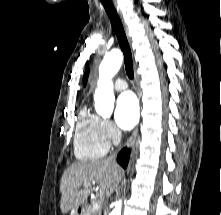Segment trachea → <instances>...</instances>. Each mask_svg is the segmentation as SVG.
<instances>
[{
	"label": "trachea",
	"instance_id": "trachea-1",
	"mask_svg": "<svg viewBox=\"0 0 221 215\" xmlns=\"http://www.w3.org/2000/svg\"><path fill=\"white\" fill-rule=\"evenodd\" d=\"M101 2L112 23L120 48L123 52L126 73L128 77L132 79L134 76L132 54L121 20L117 14V11L114 8V5L110 0H101Z\"/></svg>",
	"mask_w": 221,
	"mask_h": 215
}]
</instances>
